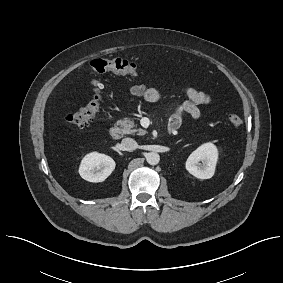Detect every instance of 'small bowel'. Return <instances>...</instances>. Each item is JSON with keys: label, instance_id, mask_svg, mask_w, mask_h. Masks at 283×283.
I'll return each mask as SVG.
<instances>
[{"label": "small bowel", "instance_id": "c3829d8e", "mask_svg": "<svg viewBox=\"0 0 283 283\" xmlns=\"http://www.w3.org/2000/svg\"><path fill=\"white\" fill-rule=\"evenodd\" d=\"M129 92L131 95L141 97L148 102H156L161 98L157 89L145 85H135L130 88ZM183 92L187 100L178 105L169 119V127L174 130L180 128L185 115L194 120L198 119L201 115L199 106L209 105L212 101L209 95L192 87L184 88Z\"/></svg>", "mask_w": 283, "mask_h": 283}]
</instances>
